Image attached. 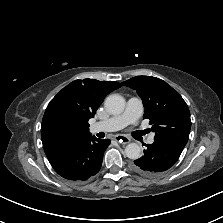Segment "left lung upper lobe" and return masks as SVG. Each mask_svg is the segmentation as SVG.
<instances>
[{"label":"left lung upper lobe","instance_id":"obj_1","mask_svg":"<svg viewBox=\"0 0 223 223\" xmlns=\"http://www.w3.org/2000/svg\"><path fill=\"white\" fill-rule=\"evenodd\" d=\"M137 91L145 107L144 119H149L154 139H166L186 145L191 128L186 102L163 80L151 76H136L122 83Z\"/></svg>","mask_w":223,"mask_h":223}]
</instances>
